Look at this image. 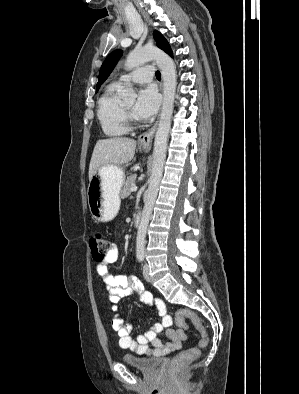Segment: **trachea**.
<instances>
[{
    "mask_svg": "<svg viewBox=\"0 0 299 394\" xmlns=\"http://www.w3.org/2000/svg\"><path fill=\"white\" fill-rule=\"evenodd\" d=\"M156 78H157V79H160V78H161V74H160L159 71H156Z\"/></svg>",
    "mask_w": 299,
    "mask_h": 394,
    "instance_id": "1",
    "label": "trachea"
}]
</instances>
